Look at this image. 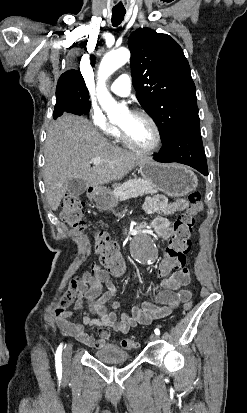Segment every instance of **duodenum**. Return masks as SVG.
Listing matches in <instances>:
<instances>
[{"mask_svg": "<svg viewBox=\"0 0 247 413\" xmlns=\"http://www.w3.org/2000/svg\"><path fill=\"white\" fill-rule=\"evenodd\" d=\"M89 193L93 196V195H95V193H96V188L95 187H91L90 188V190H89ZM145 228V224L144 223H141V224H139L137 227H136V230L137 231H140V230H142V229H144Z\"/></svg>", "mask_w": 247, "mask_h": 413, "instance_id": "duodenum-1", "label": "duodenum"}]
</instances>
